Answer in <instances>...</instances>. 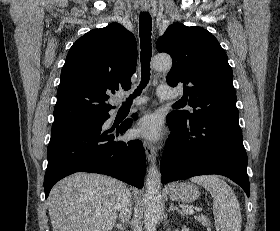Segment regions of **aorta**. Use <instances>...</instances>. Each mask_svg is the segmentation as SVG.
Segmentation results:
<instances>
[{
	"instance_id": "aorta-1",
	"label": "aorta",
	"mask_w": 280,
	"mask_h": 231,
	"mask_svg": "<svg viewBox=\"0 0 280 231\" xmlns=\"http://www.w3.org/2000/svg\"><path fill=\"white\" fill-rule=\"evenodd\" d=\"M151 66L156 72L170 70L172 60L167 54H160L151 60ZM162 209L161 177L157 165H150L145 181L144 223L146 231H156L159 215Z\"/></svg>"
}]
</instances>
